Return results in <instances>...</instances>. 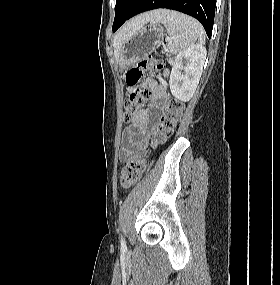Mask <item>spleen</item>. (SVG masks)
<instances>
[{
	"instance_id": "obj_1",
	"label": "spleen",
	"mask_w": 280,
	"mask_h": 285,
	"mask_svg": "<svg viewBox=\"0 0 280 285\" xmlns=\"http://www.w3.org/2000/svg\"><path fill=\"white\" fill-rule=\"evenodd\" d=\"M157 15L151 22L162 23L166 28L170 39L167 49L172 54H177L192 45L198 40L205 41V33L202 25L187 15L170 10H157Z\"/></svg>"
}]
</instances>
